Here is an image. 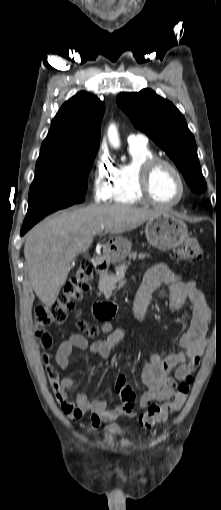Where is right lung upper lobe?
<instances>
[{
    "instance_id": "obj_1",
    "label": "right lung upper lobe",
    "mask_w": 221,
    "mask_h": 510,
    "mask_svg": "<svg viewBox=\"0 0 221 510\" xmlns=\"http://www.w3.org/2000/svg\"><path fill=\"white\" fill-rule=\"evenodd\" d=\"M104 111V103L96 96L77 93L54 117L38 159L99 147Z\"/></svg>"
}]
</instances>
